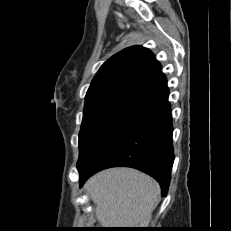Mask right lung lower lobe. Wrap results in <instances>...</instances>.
I'll use <instances>...</instances> for the list:
<instances>
[{
	"mask_svg": "<svg viewBox=\"0 0 231 231\" xmlns=\"http://www.w3.org/2000/svg\"><path fill=\"white\" fill-rule=\"evenodd\" d=\"M168 96L148 104L113 132L78 169L80 186L95 172L115 166L132 167L156 179L166 195L174 154Z\"/></svg>",
	"mask_w": 231,
	"mask_h": 231,
	"instance_id": "98d812e1",
	"label": "right lung lower lobe"
}]
</instances>
